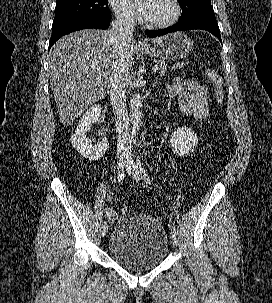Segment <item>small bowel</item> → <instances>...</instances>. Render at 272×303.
Segmentation results:
<instances>
[{
  "mask_svg": "<svg viewBox=\"0 0 272 303\" xmlns=\"http://www.w3.org/2000/svg\"><path fill=\"white\" fill-rule=\"evenodd\" d=\"M170 93L178 97L180 109L186 116L199 122L207 120L209 115L208 89L196 80L178 78L171 86Z\"/></svg>",
  "mask_w": 272,
  "mask_h": 303,
  "instance_id": "1",
  "label": "small bowel"
}]
</instances>
